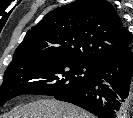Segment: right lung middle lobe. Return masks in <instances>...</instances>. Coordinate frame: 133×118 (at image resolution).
I'll return each mask as SVG.
<instances>
[{"label":"right lung middle lobe","mask_w":133,"mask_h":118,"mask_svg":"<svg viewBox=\"0 0 133 118\" xmlns=\"http://www.w3.org/2000/svg\"><path fill=\"white\" fill-rule=\"evenodd\" d=\"M94 71L92 66L60 58L7 69L0 87V106L22 94L60 95L89 82Z\"/></svg>","instance_id":"dd1d6c3e"}]
</instances>
